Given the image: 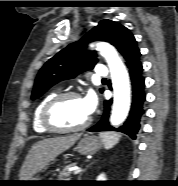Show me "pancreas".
<instances>
[{
    "mask_svg": "<svg viewBox=\"0 0 178 186\" xmlns=\"http://www.w3.org/2000/svg\"><path fill=\"white\" fill-rule=\"evenodd\" d=\"M75 166V164H71L66 166L58 175L57 181H70L71 172L69 171L71 167Z\"/></svg>",
    "mask_w": 178,
    "mask_h": 186,
    "instance_id": "obj_1",
    "label": "pancreas"
}]
</instances>
